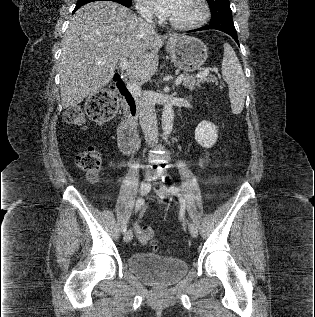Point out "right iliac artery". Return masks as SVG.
<instances>
[{
  "mask_svg": "<svg viewBox=\"0 0 315 317\" xmlns=\"http://www.w3.org/2000/svg\"><path fill=\"white\" fill-rule=\"evenodd\" d=\"M143 203H144V199L142 197L138 198V200L136 202V206H135V213H137L141 209ZM126 231H127V225L125 224L122 227V232L126 233Z\"/></svg>",
  "mask_w": 315,
  "mask_h": 317,
  "instance_id": "right-iliac-artery-1",
  "label": "right iliac artery"
}]
</instances>
